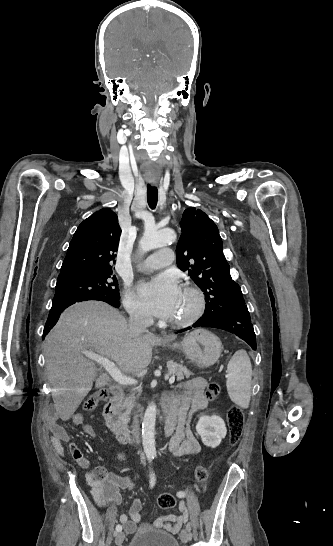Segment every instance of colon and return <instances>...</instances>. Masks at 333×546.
Wrapping results in <instances>:
<instances>
[{
	"mask_svg": "<svg viewBox=\"0 0 333 546\" xmlns=\"http://www.w3.org/2000/svg\"><path fill=\"white\" fill-rule=\"evenodd\" d=\"M220 393V386L216 382L210 383L205 392V398L207 400L215 399ZM108 398V392L106 389H100L94 394L90 395L83 404L85 410H93L97 404L101 401H105ZM245 417L242 409L236 405L229 408L227 412V423L229 428L228 443L230 446L237 444L241 437L242 429L244 425ZM196 478L200 489L205 487L208 479V471L205 467L199 466L196 469ZM158 505L161 509L168 510L176 505V499L171 493H163L158 498Z\"/></svg>",
	"mask_w": 333,
	"mask_h": 546,
	"instance_id": "1",
	"label": "colon"
}]
</instances>
